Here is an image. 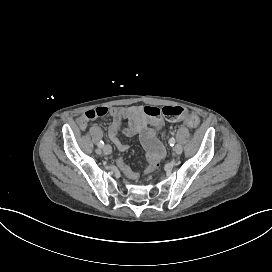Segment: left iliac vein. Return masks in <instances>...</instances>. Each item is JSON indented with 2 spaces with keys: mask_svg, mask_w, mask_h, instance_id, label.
<instances>
[{
  "mask_svg": "<svg viewBox=\"0 0 272 272\" xmlns=\"http://www.w3.org/2000/svg\"><path fill=\"white\" fill-rule=\"evenodd\" d=\"M174 152H175L176 155L181 154L182 153V146L181 145H176L174 147Z\"/></svg>",
  "mask_w": 272,
  "mask_h": 272,
  "instance_id": "left-iliac-vein-1",
  "label": "left iliac vein"
}]
</instances>
